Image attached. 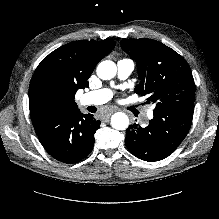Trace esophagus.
<instances>
[{"label": "esophagus", "instance_id": "34e87169", "mask_svg": "<svg viewBox=\"0 0 219 219\" xmlns=\"http://www.w3.org/2000/svg\"><path fill=\"white\" fill-rule=\"evenodd\" d=\"M116 111H118L117 108L110 109L109 115H110L111 113H113V112H116ZM109 115H104V116H103L104 122H106V121L108 120Z\"/></svg>", "mask_w": 219, "mask_h": 219}]
</instances>
